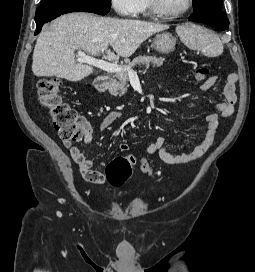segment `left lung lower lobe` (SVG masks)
Here are the masks:
<instances>
[{
  "label": "left lung lower lobe",
  "instance_id": "1",
  "mask_svg": "<svg viewBox=\"0 0 255 272\" xmlns=\"http://www.w3.org/2000/svg\"><path fill=\"white\" fill-rule=\"evenodd\" d=\"M190 21L202 22L217 27L220 30L229 28V20L226 14L218 6H207L194 13L189 17Z\"/></svg>",
  "mask_w": 255,
  "mask_h": 272
}]
</instances>
